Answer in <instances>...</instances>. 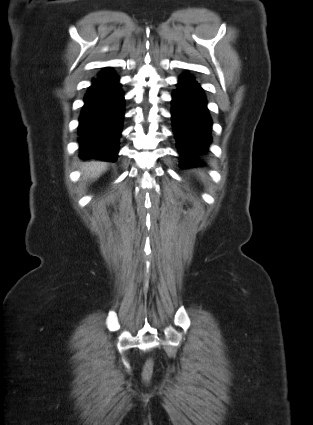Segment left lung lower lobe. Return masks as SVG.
<instances>
[{"instance_id":"obj_1","label":"left lung lower lobe","mask_w":313,"mask_h":425,"mask_svg":"<svg viewBox=\"0 0 313 425\" xmlns=\"http://www.w3.org/2000/svg\"><path fill=\"white\" fill-rule=\"evenodd\" d=\"M173 93L172 121L180 155L181 167H203L196 156L206 153L211 142L212 120L207 101L197 81L190 75L179 78Z\"/></svg>"}]
</instances>
